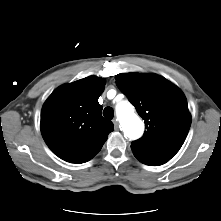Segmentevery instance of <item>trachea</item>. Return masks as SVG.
Instances as JSON below:
<instances>
[{
	"instance_id": "obj_1",
	"label": "trachea",
	"mask_w": 221,
	"mask_h": 221,
	"mask_svg": "<svg viewBox=\"0 0 221 221\" xmlns=\"http://www.w3.org/2000/svg\"><path fill=\"white\" fill-rule=\"evenodd\" d=\"M103 115L104 117H106L107 119H113L114 117V111L111 107H106L104 110H103Z\"/></svg>"
}]
</instances>
